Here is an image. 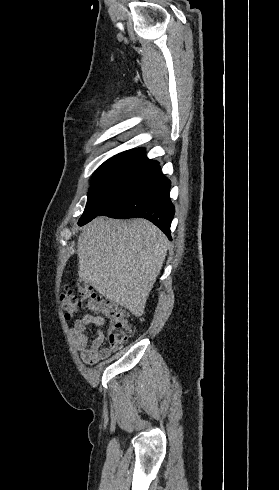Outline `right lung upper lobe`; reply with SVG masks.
Instances as JSON below:
<instances>
[{"label": "right lung upper lobe", "instance_id": "1", "mask_svg": "<svg viewBox=\"0 0 279 490\" xmlns=\"http://www.w3.org/2000/svg\"><path fill=\"white\" fill-rule=\"evenodd\" d=\"M144 148H137L124 151L119 153L105 163L109 162H129V163H137V164H158L157 161L149 160L145 155Z\"/></svg>", "mask_w": 279, "mask_h": 490}]
</instances>
